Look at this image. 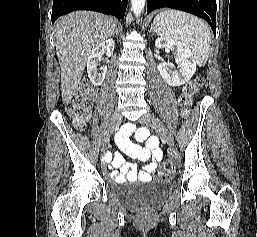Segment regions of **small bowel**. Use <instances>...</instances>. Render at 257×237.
Listing matches in <instances>:
<instances>
[{"label": "small bowel", "mask_w": 257, "mask_h": 237, "mask_svg": "<svg viewBox=\"0 0 257 237\" xmlns=\"http://www.w3.org/2000/svg\"><path fill=\"white\" fill-rule=\"evenodd\" d=\"M132 131L133 127L126 125L121 130V134L116 136V143L120 146L121 151L108 155V162L111 163L113 168L118 169L110 173L111 178L116 183L126 182L127 179H138L142 182L150 181L152 172H154L162 159V151L158 147L159 142L156 137L150 136L149 132L145 129L137 130L135 140L137 142H146V146L141 147L130 140L129 135ZM123 153L140 161L149 162L141 169H138L135 165L125 161Z\"/></svg>", "instance_id": "1"}]
</instances>
